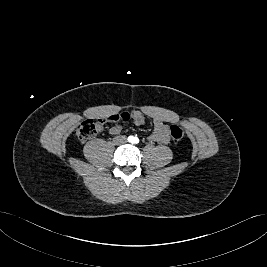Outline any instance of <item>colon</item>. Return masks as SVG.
<instances>
[{"mask_svg": "<svg viewBox=\"0 0 267 267\" xmlns=\"http://www.w3.org/2000/svg\"><path fill=\"white\" fill-rule=\"evenodd\" d=\"M128 114L126 112L114 113L112 116L104 119H87L83 121L77 128L75 135L81 141H86L94 138L101 130L105 121H126ZM169 134L175 142H180L185 137V131L176 124L169 127Z\"/></svg>", "mask_w": 267, "mask_h": 267, "instance_id": "1", "label": "colon"}]
</instances>
